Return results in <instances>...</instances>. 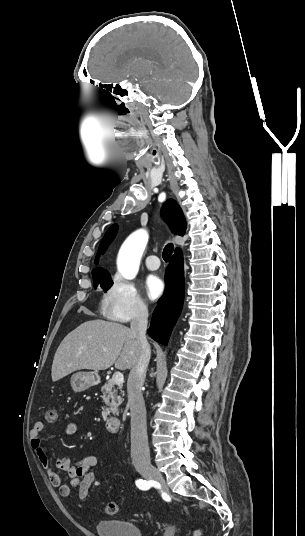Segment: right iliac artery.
Returning a JSON list of instances; mask_svg holds the SVG:
<instances>
[{"label": "right iliac artery", "instance_id": "right-iliac-artery-1", "mask_svg": "<svg viewBox=\"0 0 305 536\" xmlns=\"http://www.w3.org/2000/svg\"><path fill=\"white\" fill-rule=\"evenodd\" d=\"M135 483H136V486L141 490H148L151 487V483L146 480L139 479Z\"/></svg>", "mask_w": 305, "mask_h": 536}]
</instances>
